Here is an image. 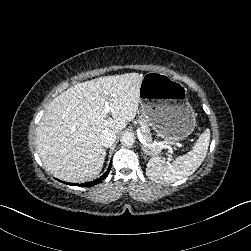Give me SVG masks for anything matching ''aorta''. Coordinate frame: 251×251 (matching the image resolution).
Here are the masks:
<instances>
[{"mask_svg": "<svg viewBox=\"0 0 251 251\" xmlns=\"http://www.w3.org/2000/svg\"><path fill=\"white\" fill-rule=\"evenodd\" d=\"M120 142L124 146H132L135 142L134 135L132 133H123L120 137Z\"/></svg>", "mask_w": 251, "mask_h": 251, "instance_id": "762f6f07", "label": "aorta"}]
</instances>
